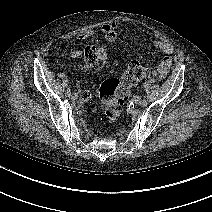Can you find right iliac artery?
Returning <instances> with one entry per match:
<instances>
[{
	"instance_id": "1",
	"label": "right iliac artery",
	"mask_w": 212,
	"mask_h": 212,
	"mask_svg": "<svg viewBox=\"0 0 212 212\" xmlns=\"http://www.w3.org/2000/svg\"><path fill=\"white\" fill-rule=\"evenodd\" d=\"M65 95H66L67 97H69V96L71 95V90L68 89V90L66 91Z\"/></svg>"
}]
</instances>
